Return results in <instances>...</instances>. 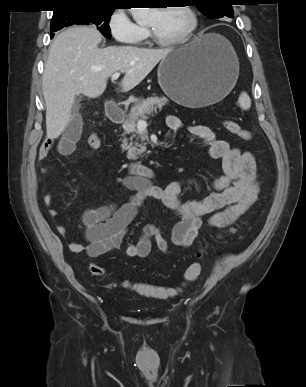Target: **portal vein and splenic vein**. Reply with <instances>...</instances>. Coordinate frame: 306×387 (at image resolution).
Here are the masks:
<instances>
[{
  "instance_id": "18ae733b",
  "label": "portal vein and splenic vein",
  "mask_w": 306,
  "mask_h": 387,
  "mask_svg": "<svg viewBox=\"0 0 306 387\" xmlns=\"http://www.w3.org/2000/svg\"><path fill=\"white\" fill-rule=\"evenodd\" d=\"M120 76V73L119 72H116L114 73L112 76H111V80L114 81V80H117ZM147 125V122L143 119H140L137 121V126L138 127H146Z\"/></svg>"
}]
</instances>
